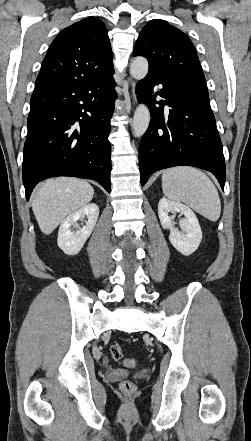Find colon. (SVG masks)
<instances>
[{"instance_id":"1","label":"colon","mask_w":251,"mask_h":441,"mask_svg":"<svg viewBox=\"0 0 251 441\" xmlns=\"http://www.w3.org/2000/svg\"><path fill=\"white\" fill-rule=\"evenodd\" d=\"M109 350L114 360L119 361L123 358L122 347L120 344L118 343L112 344ZM125 364L133 366L135 364V361L133 359H127L125 361ZM120 389L122 392L130 394L136 390V386L132 381L124 380L120 383Z\"/></svg>"}]
</instances>
